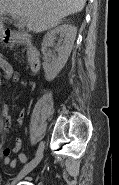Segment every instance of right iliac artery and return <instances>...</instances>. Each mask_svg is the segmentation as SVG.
Returning a JSON list of instances; mask_svg holds the SVG:
<instances>
[{
  "label": "right iliac artery",
  "mask_w": 119,
  "mask_h": 185,
  "mask_svg": "<svg viewBox=\"0 0 119 185\" xmlns=\"http://www.w3.org/2000/svg\"><path fill=\"white\" fill-rule=\"evenodd\" d=\"M43 146H44V144H43V142H41V143L39 144V147H38V149H37L36 154H38V153L42 150Z\"/></svg>",
  "instance_id": "obj_1"
}]
</instances>
